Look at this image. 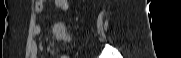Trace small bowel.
Returning <instances> with one entry per match:
<instances>
[{"instance_id":"obj_1","label":"small bowel","mask_w":181,"mask_h":58,"mask_svg":"<svg viewBox=\"0 0 181 58\" xmlns=\"http://www.w3.org/2000/svg\"><path fill=\"white\" fill-rule=\"evenodd\" d=\"M54 4L56 7L61 8L63 10H68L69 8V3L67 0H54ZM44 7V0H38L35 2V11L37 13L42 12ZM41 31V28L39 25L35 26V34H39ZM37 54H38V45L36 42L33 43L32 47H31V56L32 58H37Z\"/></svg>"}]
</instances>
